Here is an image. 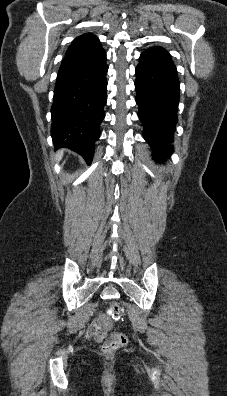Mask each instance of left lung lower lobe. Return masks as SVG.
<instances>
[{
  "label": "left lung lower lobe",
  "instance_id": "obj_1",
  "mask_svg": "<svg viewBox=\"0 0 227 396\" xmlns=\"http://www.w3.org/2000/svg\"><path fill=\"white\" fill-rule=\"evenodd\" d=\"M135 88L143 137L161 161L172 152L169 142H173L179 103L176 66L164 48L152 47L141 54Z\"/></svg>",
  "mask_w": 227,
  "mask_h": 396
}]
</instances>
